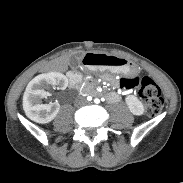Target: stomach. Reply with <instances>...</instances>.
<instances>
[{
	"label": "stomach",
	"instance_id": "0dacf381",
	"mask_svg": "<svg viewBox=\"0 0 183 183\" xmlns=\"http://www.w3.org/2000/svg\"><path fill=\"white\" fill-rule=\"evenodd\" d=\"M101 58L103 62L99 66L100 70H109L112 73L124 75H131L135 72L126 58L111 54H104Z\"/></svg>",
	"mask_w": 183,
	"mask_h": 183
}]
</instances>
